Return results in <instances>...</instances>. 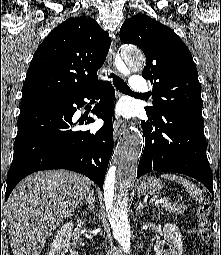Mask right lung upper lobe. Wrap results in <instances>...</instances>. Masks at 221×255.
<instances>
[{"label": "right lung upper lobe", "mask_w": 221, "mask_h": 255, "mask_svg": "<svg viewBox=\"0 0 221 255\" xmlns=\"http://www.w3.org/2000/svg\"><path fill=\"white\" fill-rule=\"evenodd\" d=\"M111 39L91 18L71 17L54 28L36 50L22 88L21 106L64 98L98 85L97 71Z\"/></svg>", "instance_id": "1"}]
</instances>
